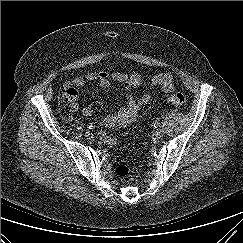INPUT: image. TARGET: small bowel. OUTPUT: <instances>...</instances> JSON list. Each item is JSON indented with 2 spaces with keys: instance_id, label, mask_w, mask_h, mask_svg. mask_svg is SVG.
Here are the masks:
<instances>
[{
  "instance_id": "obj_1",
  "label": "small bowel",
  "mask_w": 243,
  "mask_h": 243,
  "mask_svg": "<svg viewBox=\"0 0 243 243\" xmlns=\"http://www.w3.org/2000/svg\"><path fill=\"white\" fill-rule=\"evenodd\" d=\"M111 80L123 84L127 103L116 113L107 115L103 120V124L109 128H120L133 121L139 114L141 108L151 101V95L148 93L137 99L130 94L133 88L141 87L146 83L139 73L126 74L122 72L107 71L89 72L85 76H78L71 81L65 82L64 87L66 90H71L76 98L78 93L75 87L80 88L88 81H95L98 82L100 87L107 88L109 87ZM148 82L153 86L159 87L163 93H169L173 90V78L170 73L154 74L148 79ZM81 112L86 117L92 114V110L89 107L82 108ZM100 137L107 144H113L115 141L112 136L105 133H101Z\"/></svg>"
}]
</instances>
